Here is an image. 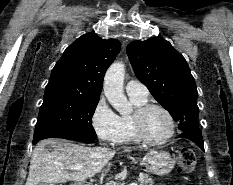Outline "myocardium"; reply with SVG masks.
Returning a JSON list of instances; mask_svg holds the SVG:
<instances>
[{
	"label": "myocardium",
	"instance_id": "obj_1",
	"mask_svg": "<svg viewBox=\"0 0 233 185\" xmlns=\"http://www.w3.org/2000/svg\"><path fill=\"white\" fill-rule=\"evenodd\" d=\"M151 109H158L161 110L163 113L166 114L170 121V132L162 139L154 140L148 137V135L145 132L144 128V119L146 114L151 110ZM132 122H133V127L135 134L137 138L146 144L149 145H161L169 141L176 132V121L172 113L163 105L157 104V103H145L135 109V111L132 114Z\"/></svg>",
	"mask_w": 233,
	"mask_h": 185
}]
</instances>
